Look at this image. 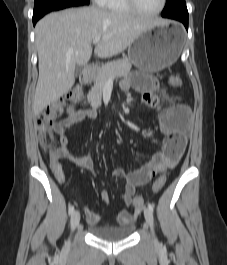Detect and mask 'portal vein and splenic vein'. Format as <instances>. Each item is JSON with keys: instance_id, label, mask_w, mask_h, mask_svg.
<instances>
[{"instance_id": "18ae733b", "label": "portal vein and splenic vein", "mask_w": 227, "mask_h": 265, "mask_svg": "<svg viewBox=\"0 0 227 265\" xmlns=\"http://www.w3.org/2000/svg\"><path fill=\"white\" fill-rule=\"evenodd\" d=\"M99 41H100V37H97V38H95V39L93 40V43H94V44H97Z\"/></svg>"}]
</instances>
